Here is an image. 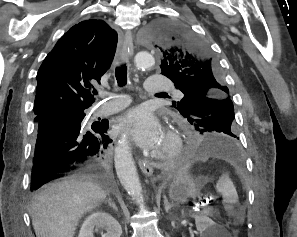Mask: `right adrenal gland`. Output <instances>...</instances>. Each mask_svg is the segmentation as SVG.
<instances>
[{
	"label": "right adrenal gland",
	"instance_id": "1",
	"mask_svg": "<svg viewBox=\"0 0 297 237\" xmlns=\"http://www.w3.org/2000/svg\"><path fill=\"white\" fill-rule=\"evenodd\" d=\"M107 202H108V204L110 205V207H112V208L117 212L118 209H117L115 203L112 201V199L109 198V199L107 200Z\"/></svg>",
	"mask_w": 297,
	"mask_h": 237
}]
</instances>
